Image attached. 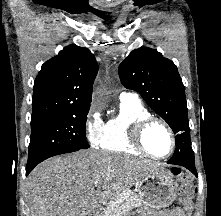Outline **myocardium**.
Instances as JSON below:
<instances>
[{
  "label": "myocardium",
  "instance_id": "myocardium-1",
  "mask_svg": "<svg viewBox=\"0 0 221 216\" xmlns=\"http://www.w3.org/2000/svg\"><path fill=\"white\" fill-rule=\"evenodd\" d=\"M154 124H159L161 126H163L165 128V130L167 131L170 140H171V148L170 151L163 155H156L154 153H152L145 144V134L147 129L154 125ZM130 140L132 145L142 154L149 156L151 158L154 159H166L170 156L173 155L175 149H176V137L174 134L173 129L171 128V126L163 119L159 118V117H155V116H149L146 117L140 121H138L132 128L131 133H130Z\"/></svg>",
  "mask_w": 221,
  "mask_h": 216
}]
</instances>
